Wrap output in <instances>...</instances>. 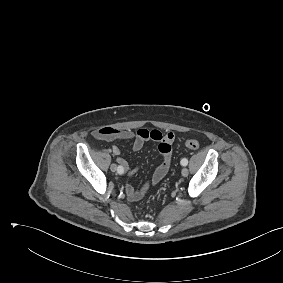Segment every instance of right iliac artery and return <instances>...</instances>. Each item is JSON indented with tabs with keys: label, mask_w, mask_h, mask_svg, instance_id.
I'll list each match as a JSON object with an SVG mask.
<instances>
[{
	"label": "right iliac artery",
	"mask_w": 283,
	"mask_h": 283,
	"mask_svg": "<svg viewBox=\"0 0 283 283\" xmlns=\"http://www.w3.org/2000/svg\"><path fill=\"white\" fill-rule=\"evenodd\" d=\"M118 173L121 174L123 172V168L121 166L117 167Z\"/></svg>",
	"instance_id": "obj_1"
}]
</instances>
